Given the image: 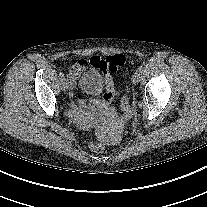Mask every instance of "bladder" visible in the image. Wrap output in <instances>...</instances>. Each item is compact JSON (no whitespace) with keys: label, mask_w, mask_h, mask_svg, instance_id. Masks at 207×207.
Here are the masks:
<instances>
[{"label":"bladder","mask_w":207,"mask_h":207,"mask_svg":"<svg viewBox=\"0 0 207 207\" xmlns=\"http://www.w3.org/2000/svg\"><path fill=\"white\" fill-rule=\"evenodd\" d=\"M79 88L88 94L95 95L101 92L104 85V77L97 68H90L79 79Z\"/></svg>","instance_id":"31cf9c89"}]
</instances>
